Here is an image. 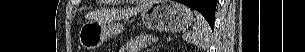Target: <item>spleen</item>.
I'll return each instance as SVG.
<instances>
[{
  "mask_svg": "<svg viewBox=\"0 0 305 52\" xmlns=\"http://www.w3.org/2000/svg\"><path fill=\"white\" fill-rule=\"evenodd\" d=\"M197 21L193 26L192 31L183 35V39L189 43H193L199 47H209L211 29L205 18L198 12H195Z\"/></svg>",
  "mask_w": 305,
  "mask_h": 52,
  "instance_id": "1",
  "label": "spleen"
}]
</instances>
